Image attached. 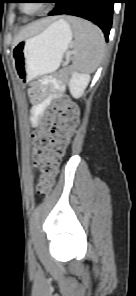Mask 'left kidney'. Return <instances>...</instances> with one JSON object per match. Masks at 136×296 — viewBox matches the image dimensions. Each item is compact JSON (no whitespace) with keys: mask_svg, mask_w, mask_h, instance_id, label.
<instances>
[{"mask_svg":"<svg viewBox=\"0 0 136 296\" xmlns=\"http://www.w3.org/2000/svg\"><path fill=\"white\" fill-rule=\"evenodd\" d=\"M90 81V75L74 71L69 80V90L72 97L80 98Z\"/></svg>","mask_w":136,"mask_h":296,"instance_id":"obj_1","label":"left kidney"}]
</instances>
